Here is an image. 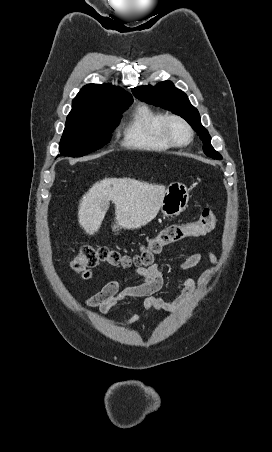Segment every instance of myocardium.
Returning <instances> with one entry per match:
<instances>
[{"label":"myocardium","instance_id":"obj_1","mask_svg":"<svg viewBox=\"0 0 272 452\" xmlns=\"http://www.w3.org/2000/svg\"><path fill=\"white\" fill-rule=\"evenodd\" d=\"M174 122L180 123L185 128V130L187 132L186 140L178 141L174 138V136L171 132V126H172V123H174ZM162 130H163L164 137L172 146H176V147L186 146L193 139V129H192L191 125L185 118H183L182 116L177 115V114H171V115L166 116V118L164 119V122H163Z\"/></svg>","mask_w":272,"mask_h":452}]
</instances>
